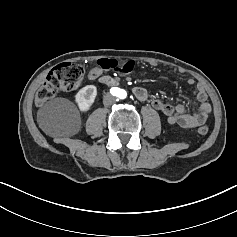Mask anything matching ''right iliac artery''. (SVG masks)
Here are the masks:
<instances>
[{"mask_svg": "<svg viewBox=\"0 0 237 237\" xmlns=\"http://www.w3.org/2000/svg\"><path fill=\"white\" fill-rule=\"evenodd\" d=\"M119 89L117 87L111 88V92L113 93H118Z\"/></svg>", "mask_w": 237, "mask_h": 237, "instance_id": "right-iliac-artery-1", "label": "right iliac artery"}]
</instances>
